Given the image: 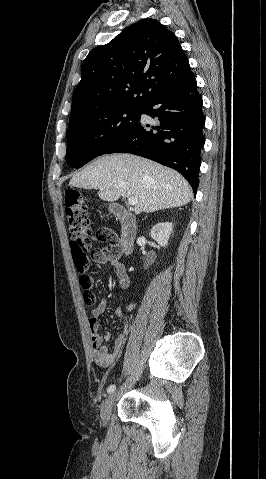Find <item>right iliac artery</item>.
<instances>
[{
  "mask_svg": "<svg viewBox=\"0 0 266 479\" xmlns=\"http://www.w3.org/2000/svg\"><path fill=\"white\" fill-rule=\"evenodd\" d=\"M115 389H116V386H115L114 384H111V385L107 388V392H108V393H112Z\"/></svg>",
  "mask_w": 266,
  "mask_h": 479,
  "instance_id": "right-iliac-artery-1",
  "label": "right iliac artery"
}]
</instances>
